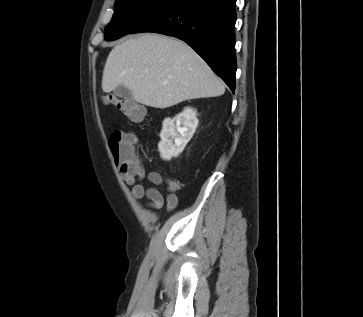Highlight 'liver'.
<instances>
[{
  "label": "liver",
  "instance_id": "obj_1",
  "mask_svg": "<svg viewBox=\"0 0 363 317\" xmlns=\"http://www.w3.org/2000/svg\"><path fill=\"white\" fill-rule=\"evenodd\" d=\"M119 85L138 103L162 109L225 92L224 83L189 45L156 33L130 36L111 50L102 90L110 93Z\"/></svg>",
  "mask_w": 363,
  "mask_h": 317
}]
</instances>
